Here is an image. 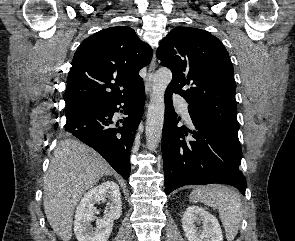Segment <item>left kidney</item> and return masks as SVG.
I'll return each mask as SVG.
<instances>
[{"label": "left kidney", "mask_w": 295, "mask_h": 241, "mask_svg": "<svg viewBox=\"0 0 295 241\" xmlns=\"http://www.w3.org/2000/svg\"><path fill=\"white\" fill-rule=\"evenodd\" d=\"M182 227L188 241H223L216 217L199 206H189L184 211Z\"/></svg>", "instance_id": "5707ae66"}]
</instances>
